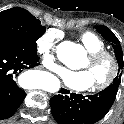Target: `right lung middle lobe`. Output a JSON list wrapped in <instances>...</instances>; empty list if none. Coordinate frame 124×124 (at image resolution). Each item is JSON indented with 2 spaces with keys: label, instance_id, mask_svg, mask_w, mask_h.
Segmentation results:
<instances>
[{
  "label": "right lung middle lobe",
  "instance_id": "obj_1",
  "mask_svg": "<svg viewBox=\"0 0 124 124\" xmlns=\"http://www.w3.org/2000/svg\"><path fill=\"white\" fill-rule=\"evenodd\" d=\"M46 28L27 10L19 7L0 12V39L23 42L36 50V41Z\"/></svg>",
  "mask_w": 124,
  "mask_h": 124
}]
</instances>
